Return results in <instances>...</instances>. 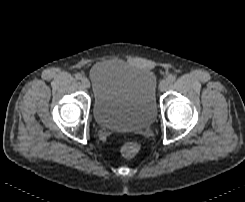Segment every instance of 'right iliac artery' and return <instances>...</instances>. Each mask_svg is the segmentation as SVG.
<instances>
[{
	"label": "right iliac artery",
	"mask_w": 245,
	"mask_h": 202,
	"mask_svg": "<svg viewBox=\"0 0 245 202\" xmlns=\"http://www.w3.org/2000/svg\"><path fill=\"white\" fill-rule=\"evenodd\" d=\"M75 78L78 79V80H80V79L82 78V75H81L80 73H77V74L75 75Z\"/></svg>",
	"instance_id": "right-iliac-artery-1"
}]
</instances>
